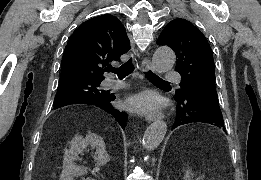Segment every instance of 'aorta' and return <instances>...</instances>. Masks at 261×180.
Returning a JSON list of instances; mask_svg holds the SVG:
<instances>
[{
	"instance_id": "762f6f07",
	"label": "aorta",
	"mask_w": 261,
	"mask_h": 180,
	"mask_svg": "<svg viewBox=\"0 0 261 180\" xmlns=\"http://www.w3.org/2000/svg\"><path fill=\"white\" fill-rule=\"evenodd\" d=\"M176 57L172 49L167 46L159 47L152 58V64L157 72L171 70L175 64ZM167 125L164 121H155L145 131L143 136V147L146 150H154L165 137Z\"/></svg>"
}]
</instances>
